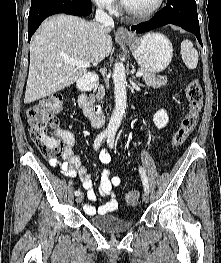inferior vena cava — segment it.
<instances>
[{"mask_svg": "<svg viewBox=\"0 0 221 263\" xmlns=\"http://www.w3.org/2000/svg\"><path fill=\"white\" fill-rule=\"evenodd\" d=\"M95 19L98 23H100L103 26L107 27H113L114 21L111 16H109L102 7L101 3H98V8L96 10Z\"/></svg>", "mask_w": 221, "mask_h": 263, "instance_id": "inferior-vena-cava-1", "label": "inferior vena cava"}]
</instances>
